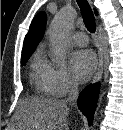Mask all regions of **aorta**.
Listing matches in <instances>:
<instances>
[{
	"label": "aorta",
	"mask_w": 123,
	"mask_h": 130,
	"mask_svg": "<svg viewBox=\"0 0 123 130\" xmlns=\"http://www.w3.org/2000/svg\"><path fill=\"white\" fill-rule=\"evenodd\" d=\"M77 12L71 7L62 8L54 17L48 33L53 60L59 62L66 56L69 47V31L76 19Z\"/></svg>",
	"instance_id": "obj_1"
}]
</instances>
